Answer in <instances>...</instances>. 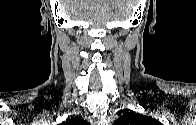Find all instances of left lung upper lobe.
I'll use <instances>...</instances> for the list:
<instances>
[{"instance_id":"1","label":"left lung upper lobe","mask_w":196,"mask_h":125,"mask_svg":"<svg viewBox=\"0 0 196 125\" xmlns=\"http://www.w3.org/2000/svg\"><path fill=\"white\" fill-rule=\"evenodd\" d=\"M160 123L152 117L129 112L117 120V125H159Z\"/></svg>"}]
</instances>
